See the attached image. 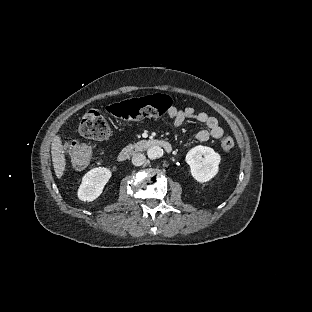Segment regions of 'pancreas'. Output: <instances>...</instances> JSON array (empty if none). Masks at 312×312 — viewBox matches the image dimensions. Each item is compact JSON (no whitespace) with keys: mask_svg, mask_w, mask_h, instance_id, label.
Segmentation results:
<instances>
[{"mask_svg":"<svg viewBox=\"0 0 312 312\" xmlns=\"http://www.w3.org/2000/svg\"><path fill=\"white\" fill-rule=\"evenodd\" d=\"M147 143V141L143 140V141H140V142H137L134 144V147L136 150H142L143 149V145H145Z\"/></svg>","mask_w":312,"mask_h":312,"instance_id":"obj_1","label":"pancreas"}]
</instances>
